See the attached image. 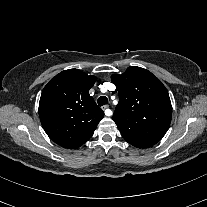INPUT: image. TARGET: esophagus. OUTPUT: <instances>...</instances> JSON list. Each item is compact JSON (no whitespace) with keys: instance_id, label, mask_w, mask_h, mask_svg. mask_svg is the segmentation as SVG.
Segmentation results:
<instances>
[{"instance_id":"1","label":"esophagus","mask_w":207,"mask_h":207,"mask_svg":"<svg viewBox=\"0 0 207 207\" xmlns=\"http://www.w3.org/2000/svg\"><path fill=\"white\" fill-rule=\"evenodd\" d=\"M103 111L105 112V115L106 116H111L112 115V111L109 109V106L108 105H104L102 107Z\"/></svg>"}]
</instances>
